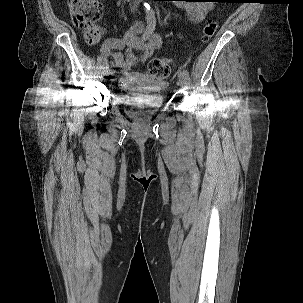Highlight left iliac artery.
Listing matches in <instances>:
<instances>
[{"instance_id":"left-iliac-artery-1","label":"left iliac artery","mask_w":303,"mask_h":303,"mask_svg":"<svg viewBox=\"0 0 303 303\" xmlns=\"http://www.w3.org/2000/svg\"><path fill=\"white\" fill-rule=\"evenodd\" d=\"M145 7H146V13H147V15H149V16L154 15L155 16V12L153 11V9L150 8L149 4L145 3ZM183 72L185 73L187 81L189 83L190 82V75H189L188 70L187 69H183Z\"/></svg>"}]
</instances>
